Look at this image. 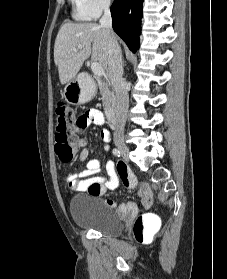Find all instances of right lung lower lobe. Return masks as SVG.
I'll return each mask as SVG.
<instances>
[{
    "mask_svg": "<svg viewBox=\"0 0 227 279\" xmlns=\"http://www.w3.org/2000/svg\"><path fill=\"white\" fill-rule=\"evenodd\" d=\"M143 0H115L110 10L114 31L133 52L139 48Z\"/></svg>",
    "mask_w": 227,
    "mask_h": 279,
    "instance_id": "obj_1",
    "label": "right lung lower lobe"
}]
</instances>
